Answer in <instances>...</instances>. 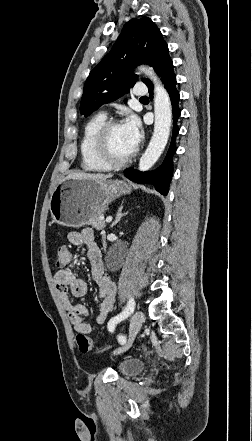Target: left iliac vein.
<instances>
[{
  "label": "left iliac vein",
  "instance_id": "obj_1",
  "mask_svg": "<svg viewBox=\"0 0 252 441\" xmlns=\"http://www.w3.org/2000/svg\"><path fill=\"white\" fill-rule=\"evenodd\" d=\"M143 322H144V314H143V312H142V311H137V312L134 314V316L132 317V319H131V323H130V332H129L130 339H129L127 345H126L125 347H123V348L117 350L116 353H121V352L127 350V349L130 347V345H131V343H132L134 337H135V336L138 334V332L140 331Z\"/></svg>",
  "mask_w": 252,
  "mask_h": 441
}]
</instances>
